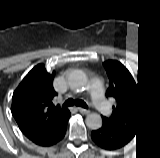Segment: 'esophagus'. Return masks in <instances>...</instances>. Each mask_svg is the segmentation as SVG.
Masks as SVG:
<instances>
[{
    "instance_id": "obj_1",
    "label": "esophagus",
    "mask_w": 160,
    "mask_h": 158,
    "mask_svg": "<svg viewBox=\"0 0 160 158\" xmlns=\"http://www.w3.org/2000/svg\"><path fill=\"white\" fill-rule=\"evenodd\" d=\"M79 111L80 112H82V113H84V114H86L88 111L86 110V109H84V108H79Z\"/></svg>"
}]
</instances>
